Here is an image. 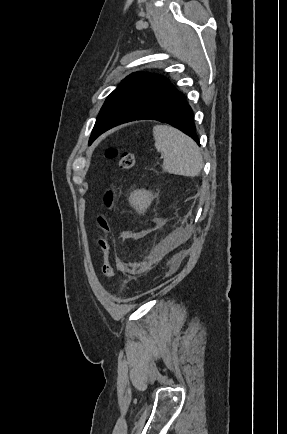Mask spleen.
Here are the masks:
<instances>
[{"label":"spleen","mask_w":287,"mask_h":434,"mask_svg":"<svg viewBox=\"0 0 287 434\" xmlns=\"http://www.w3.org/2000/svg\"><path fill=\"white\" fill-rule=\"evenodd\" d=\"M155 147L163 153L166 172L186 177L199 175L203 159L198 145L187 135L167 125L153 128Z\"/></svg>","instance_id":"3e777b00"}]
</instances>
